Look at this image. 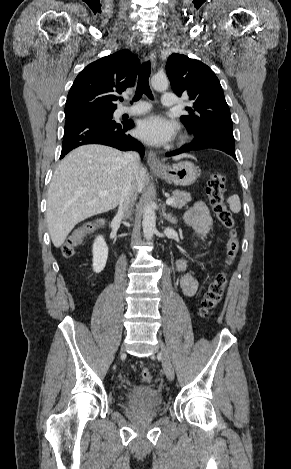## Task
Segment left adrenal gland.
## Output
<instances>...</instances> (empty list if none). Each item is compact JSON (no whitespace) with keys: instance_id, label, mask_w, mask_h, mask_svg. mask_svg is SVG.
<instances>
[{"instance_id":"1","label":"left adrenal gland","mask_w":291,"mask_h":469,"mask_svg":"<svg viewBox=\"0 0 291 469\" xmlns=\"http://www.w3.org/2000/svg\"><path fill=\"white\" fill-rule=\"evenodd\" d=\"M162 213H163V217H164L167 221H169V222H171V223H175V222H176V218H175V217H173L170 213L167 214V213L165 212V206H164L163 209H162Z\"/></svg>"}]
</instances>
